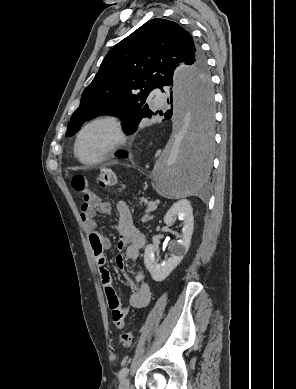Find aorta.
<instances>
[{
	"label": "aorta",
	"mask_w": 296,
	"mask_h": 389,
	"mask_svg": "<svg viewBox=\"0 0 296 389\" xmlns=\"http://www.w3.org/2000/svg\"><path fill=\"white\" fill-rule=\"evenodd\" d=\"M213 84L210 72L181 65L172 83L176 130L157 161L154 179L171 196L185 197L207 182L214 151Z\"/></svg>",
	"instance_id": "aorta-1"
}]
</instances>
